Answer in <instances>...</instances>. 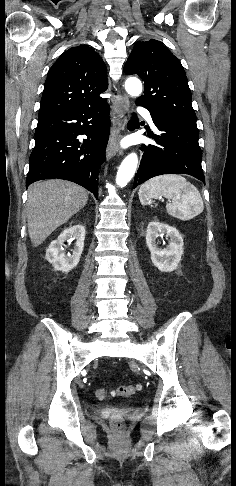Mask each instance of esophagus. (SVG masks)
I'll list each match as a JSON object with an SVG mask.
<instances>
[{"label":"esophagus","mask_w":236,"mask_h":486,"mask_svg":"<svg viewBox=\"0 0 236 486\" xmlns=\"http://www.w3.org/2000/svg\"><path fill=\"white\" fill-rule=\"evenodd\" d=\"M128 106V97L118 92L112 106V127L106 149V157L108 160L118 153H121L119 142L122 136L121 131L124 130V126L126 123L125 115Z\"/></svg>","instance_id":"esophagus-1"}]
</instances>
